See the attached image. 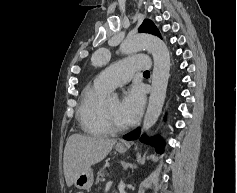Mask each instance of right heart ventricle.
Wrapping results in <instances>:
<instances>
[{"label":"right heart ventricle","mask_w":237,"mask_h":193,"mask_svg":"<svg viewBox=\"0 0 237 193\" xmlns=\"http://www.w3.org/2000/svg\"><path fill=\"white\" fill-rule=\"evenodd\" d=\"M108 88L96 80L88 84L82 91L77 109V117L82 130L93 136H104L110 131L103 123V97Z\"/></svg>","instance_id":"1"}]
</instances>
